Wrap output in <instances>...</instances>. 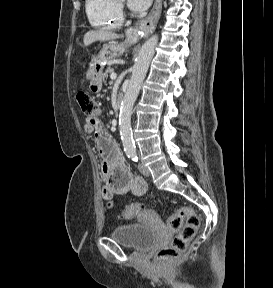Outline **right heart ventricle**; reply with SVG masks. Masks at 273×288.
<instances>
[{"instance_id":"1","label":"right heart ventricle","mask_w":273,"mask_h":288,"mask_svg":"<svg viewBox=\"0 0 273 288\" xmlns=\"http://www.w3.org/2000/svg\"><path fill=\"white\" fill-rule=\"evenodd\" d=\"M86 13L92 26L118 29L123 23L119 0H86Z\"/></svg>"}]
</instances>
